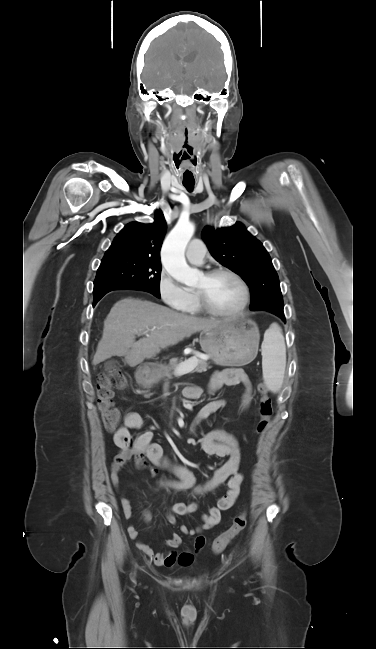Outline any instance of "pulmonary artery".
I'll return each mask as SVG.
<instances>
[{"mask_svg": "<svg viewBox=\"0 0 376 649\" xmlns=\"http://www.w3.org/2000/svg\"><path fill=\"white\" fill-rule=\"evenodd\" d=\"M206 247L199 239L192 240L186 250L187 259L194 264L200 265L204 261Z\"/></svg>", "mask_w": 376, "mask_h": 649, "instance_id": "1", "label": "pulmonary artery"}]
</instances>
